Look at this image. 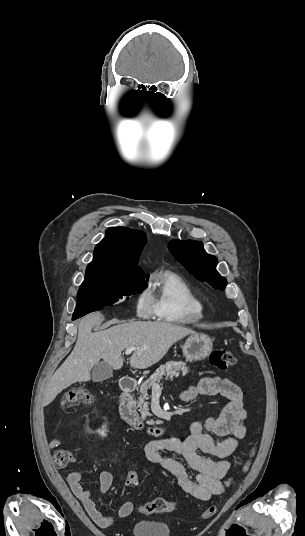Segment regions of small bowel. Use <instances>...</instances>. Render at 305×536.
<instances>
[{
  "mask_svg": "<svg viewBox=\"0 0 305 536\" xmlns=\"http://www.w3.org/2000/svg\"><path fill=\"white\" fill-rule=\"evenodd\" d=\"M199 395H220L228 400L218 417H207L196 420L190 425L187 438L166 436L149 441L144 447L147 460L159 465L169 472L177 484L192 497L208 501L212 496L221 495L231 483L228 476L230 462L227 457L237 448L245 436L243 421L246 410L242 403V392L233 381L222 377H204L196 385L181 393V400L190 402ZM162 452L177 454L183 462L162 456ZM201 453L218 458L202 456ZM190 471L193 473L191 474ZM66 481L81 502L90 518L101 528L113 526L112 517L103 514L91 498L89 491L82 484V475L78 471H69ZM126 481L122 492L127 491ZM113 484V475L108 470L100 473L97 483L98 490L105 493ZM134 510V503L125 501L119 508V518L128 517Z\"/></svg>",
  "mask_w": 305,
  "mask_h": 536,
  "instance_id": "1",
  "label": "small bowel"
}]
</instances>
